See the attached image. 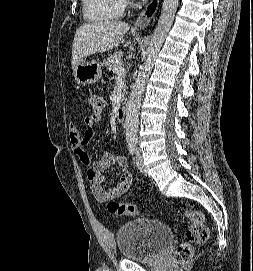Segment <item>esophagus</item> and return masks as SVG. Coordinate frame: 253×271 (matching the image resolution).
<instances>
[{
  "label": "esophagus",
  "instance_id": "obj_1",
  "mask_svg": "<svg viewBox=\"0 0 253 271\" xmlns=\"http://www.w3.org/2000/svg\"><path fill=\"white\" fill-rule=\"evenodd\" d=\"M161 0H150L145 9L139 14L135 23L134 29L144 31L146 27L154 20L159 8Z\"/></svg>",
  "mask_w": 253,
  "mask_h": 271
}]
</instances>
